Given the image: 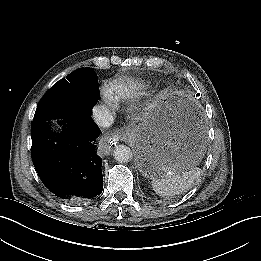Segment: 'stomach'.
<instances>
[{"label": "stomach", "instance_id": "0dacf381", "mask_svg": "<svg viewBox=\"0 0 261 261\" xmlns=\"http://www.w3.org/2000/svg\"><path fill=\"white\" fill-rule=\"evenodd\" d=\"M186 96L176 91L160 94L145 118L129 130L140 172L148 178L168 171L193 168L203 156L202 141L187 131Z\"/></svg>", "mask_w": 261, "mask_h": 261}]
</instances>
